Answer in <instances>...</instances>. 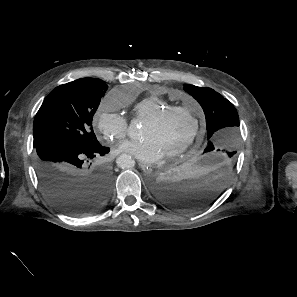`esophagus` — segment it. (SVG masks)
Wrapping results in <instances>:
<instances>
[{"label": "esophagus", "instance_id": "34e87169", "mask_svg": "<svg viewBox=\"0 0 297 297\" xmlns=\"http://www.w3.org/2000/svg\"><path fill=\"white\" fill-rule=\"evenodd\" d=\"M140 168L143 170V172L150 174L152 172V168L144 163H139Z\"/></svg>", "mask_w": 297, "mask_h": 297}]
</instances>
